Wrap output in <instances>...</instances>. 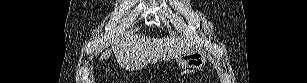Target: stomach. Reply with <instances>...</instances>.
<instances>
[{"label": "stomach", "mask_w": 307, "mask_h": 83, "mask_svg": "<svg viewBox=\"0 0 307 83\" xmlns=\"http://www.w3.org/2000/svg\"><path fill=\"white\" fill-rule=\"evenodd\" d=\"M179 66L183 68H201L205 65V54L200 51H188L177 59Z\"/></svg>", "instance_id": "0dacf381"}]
</instances>
